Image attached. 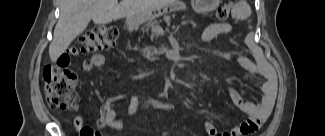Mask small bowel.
Wrapping results in <instances>:
<instances>
[{
  "label": "small bowel",
  "mask_w": 325,
  "mask_h": 136,
  "mask_svg": "<svg viewBox=\"0 0 325 136\" xmlns=\"http://www.w3.org/2000/svg\"><path fill=\"white\" fill-rule=\"evenodd\" d=\"M234 33H236V29L232 24L214 22L203 30L201 39L203 42H210L220 35ZM81 50V44H67L66 48H64V53H59L57 58V63L59 64L58 71L65 72L67 78L70 80H78L80 78V75L76 73L74 68H68V62L70 55H75L77 51ZM105 63L106 59L103 54H95L90 60L84 62V71L86 73H91L94 69L102 70L105 67ZM241 63L250 72L259 74L264 78L262 95L259 102L252 103L246 101L237 90L228 89V94L233 105L247 114L248 118L241 124L223 132V136H242L256 131L261 122H264L268 117L274 103L276 91L275 77L264 60L259 58L258 63L255 64L248 57L243 55L241 56ZM70 86H73V83H70ZM175 97L180 99L184 97V95L182 93H175ZM124 99V94H113L104 101L100 108L98 127L107 126L113 130H120L123 127L124 119L117 117L116 104ZM140 106V100L132 97L126 106V113L129 115L134 114L139 110ZM170 107H174V104H170ZM84 122L82 116H77L74 119V124L80 132L90 129ZM205 130L210 136H215L217 134L215 125L210 121L205 123Z\"/></svg>",
  "instance_id": "1"
}]
</instances>
